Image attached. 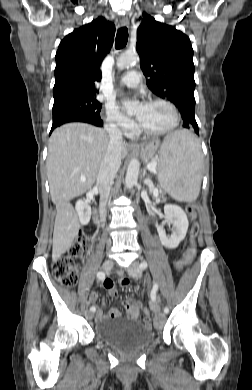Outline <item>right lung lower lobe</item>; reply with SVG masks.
I'll return each instance as SVG.
<instances>
[{"instance_id":"98d812e1","label":"right lung lower lobe","mask_w":252,"mask_h":390,"mask_svg":"<svg viewBox=\"0 0 252 390\" xmlns=\"http://www.w3.org/2000/svg\"><path fill=\"white\" fill-rule=\"evenodd\" d=\"M68 122H85V123H90L95 126L101 127L103 125V121L100 119H93L90 117H86L83 115H77V114H65V115H60L55 118H53V124L51 128V132L53 131L54 128ZM50 132V133H51Z\"/></svg>"}]
</instances>
